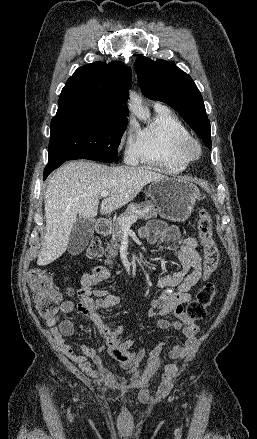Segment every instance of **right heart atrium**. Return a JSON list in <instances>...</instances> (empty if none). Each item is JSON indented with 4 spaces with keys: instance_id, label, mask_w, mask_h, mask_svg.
Returning a JSON list of instances; mask_svg holds the SVG:
<instances>
[{
    "instance_id": "d8ad5b80",
    "label": "right heart atrium",
    "mask_w": 257,
    "mask_h": 439,
    "mask_svg": "<svg viewBox=\"0 0 257 439\" xmlns=\"http://www.w3.org/2000/svg\"><path fill=\"white\" fill-rule=\"evenodd\" d=\"M137 128L133 121H130L122 137L123 155L127 162H134L137 157Z\"/></svg>"
}]
</instances>
